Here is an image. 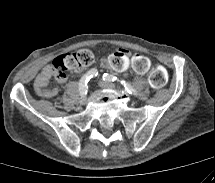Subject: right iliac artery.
<instances>
[{
	"mask_svg": "<svg viewBox=\"0 0 215 183\" xmlns=\"http://www.w3.org/2000/svg\"><path fill=\"white\" fill-rule=\"evenodd\" d=\"M97 75H98V71L95 68L89 70L86 74L83 75V77L79 81V92L81 95L87 94V91H88L87 83H88V81L91 78L96 77Z\"/></svg>",
	"mask_w": 215,
	"mask_h": 183,
	"instance_id": "82829eb1",
	"label": "right iliac artery"
}]
</instances>
